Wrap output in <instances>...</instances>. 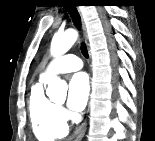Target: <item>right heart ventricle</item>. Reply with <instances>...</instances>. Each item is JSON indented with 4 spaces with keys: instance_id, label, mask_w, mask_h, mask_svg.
Wrapping results in <instances>:
<instances>
[{
    "instance_id": "right-heart-ventricle-1",
    "label": "right heart ventricle",
    "mask_w": 155,
    "mask_h": 141,
    "mask_svg": "<svg viewBox=\"0 0 155 141\" xmlns=\"http://www.w3.org/2000/svg\"><path fill=\"white\" fill-rule=\"evenodd\" d=\"M44 79L35 83L30 91L28 110L32 129L40 141H52L66 136L68 127L60 108L44 93Z\"/></svg>"
}]
</instances>
